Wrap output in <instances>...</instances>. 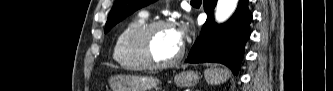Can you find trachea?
I'll use <instances>...</instances> for the list:
<instances>
[{"mask_svg":"<svg viewBox=\"0 0 333 91\" xmlns=\"http://www.w3.org/2000/svg\"><path fill=\"white\" fill-rule=\"evenodd\" d=\"M191 2H201V0H192Z\"/></svg>","mask_w":333,"mask_h":91,"instance_id":"3493384b","label":"trachea"}]
</instances>
